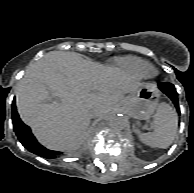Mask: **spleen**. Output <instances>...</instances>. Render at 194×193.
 Returning a JSON list of instances; mask_svg holds the SVG:
<instances>
[{"instance_id":"obj_1","label":"spleen","mask_w":194,"mask_h":193,"mask_svg":"<svg viewBox=\"0 0 194 193\" xmlns=\"http://www.w3.org/2000/svg\"><path fill=\"white\" fill-rule=\"evenodd\" d=\"M178 119L172 108L161 103L153 116L152 132L141 133L137 131L140 141L150 147L165 149L172 144L176 135Z\"/></svg>"}]
</instances>
